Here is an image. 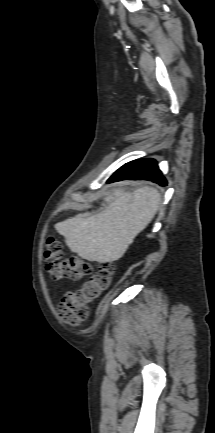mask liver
Masks as SVG:
<instances>
[{
    "label": "liver",
    "mask_w": 215,
    "mask_h": 433,
    "mask_svg": "<svg viewBox=\"0 0 215 433\" xmlns=\"http://www.w3.org/2000/svg\"><path fill=\"white\" fill-rule=\"evenodd\" d=\"M161 203L160 193L143 186L130 194L115 189L97 211L78 214L55 225L70 250L98 263L120 259L135 237L152 221Z\"/></svg>",
    "instance_id": "liver-1"
}]
</instances>
